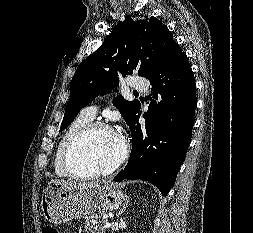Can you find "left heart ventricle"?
<instances>
[{
	"label": "left heart ventricle",
	"instance_id": "b2bd125f",
	"mask_svg": "<svg viewBox=\"0 0 253 233\" xmlns=\"http://www.w3.org/2000/svg\"><path fill=\"white\" fill-rule=\"evenodd\" d=\"M121 149V137L116 131L99 130L76 148L72 157L73 166L83 173L104 170L118 159Z\"/></svg>",
	"mask_w": 253,
	"mask_h": 233
}]
</instances>
